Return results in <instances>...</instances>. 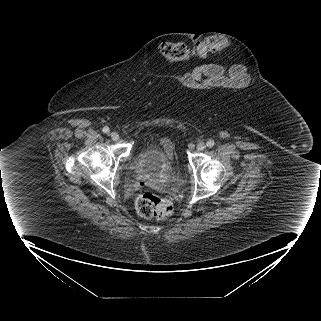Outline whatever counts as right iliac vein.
Returning a JSON list of instances; mask_svg holds the SVG:
<instances>
[{
    "label": "right iliac vein",
    "mask_w": 321,
    "mask_h": 321,
    "mask_svg": "<svg viewBox=\"0 0 321 321\" xmlns=\"http://www.w3.org/2000/svg\"><path fill=\"white\" fill-rule=\"evenodd\" d=\"M110 136L115 141L119 139V134L117 132H111Z\"/></svg>",
    "instance_id": "obj_1"
}]
</instances>
